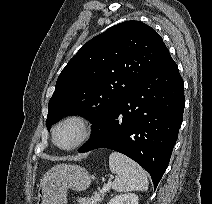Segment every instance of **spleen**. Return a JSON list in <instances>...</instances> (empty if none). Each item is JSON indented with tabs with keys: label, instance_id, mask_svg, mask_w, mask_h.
<instances>
[{
	"label": "spleen",
	"instance_id": "1",
	"mask_svg": "<svg viewBox=\"0 0 212 204\" xmlns=\"http://www.w3.org/2000/svg\"><path fill=\"white\" fill-rule=\"evenodd\" d=\"M109 167L116 179L112 188L118 192L147 191L148 179L146 172L135 161L127 156L112 152L109 156Z\"/></svg>",
	"mask_w": 212,
	"mask_h": 204
}]
</instances>
